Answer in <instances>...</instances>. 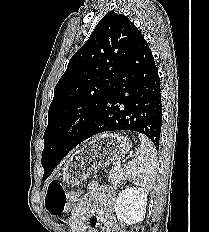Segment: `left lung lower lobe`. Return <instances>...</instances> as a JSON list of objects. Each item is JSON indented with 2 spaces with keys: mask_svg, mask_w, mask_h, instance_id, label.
Returning <instances> with one entry per match:
<instances>
[{
  "mask_svg": "<svg viewBox=\"0 0 209 232\" xmlns=\"http://www.w3.org/2000/svg\"><path fill=\"white\" fill-rule=\"evenodd\" d=\"M162 125L161 88L152 52L142 36L116 85L78 144L107 131H135L158 148Z\"/></svg>",
  "mask_w": 209,
  "mask_h": 232,
  "instance_id": "0a47b994",
  "label": "left lung lower lobe"
}]
</instances>
